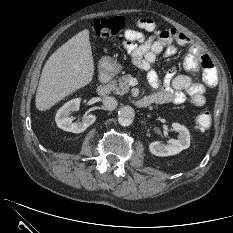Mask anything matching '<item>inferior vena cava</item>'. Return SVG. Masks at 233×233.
Here are the masks:
<instances>
[{"label": "inferior vena cava", "instance_id": "inferior-vena-cava-1", "mask_svg": "<svg viewBox=\"0 0 233 233\" xmlns=\"http://www.w3.org/2000/svg\"><path fill=\"white\" fill-rule=\"evenodd\" d=\"M103 104H104L105 109L114 110L116 109L118 102L114 97L106 96L103 98Z\"/></svg>", "mask_w": 233, "mask_h": 233}]
</instances>
